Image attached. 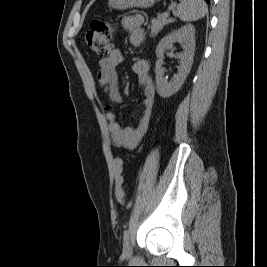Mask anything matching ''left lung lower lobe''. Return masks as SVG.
Returning a JSON list of instances; mask_svg holds the SVG:
<instances>
[{
	"label": "left lung lower lobe",
	"instance_id": "1",
	"mask_svg": "<svg viewBox=\"0 0 267 267\" xmlns=\"http://www.w3.org/2000/svg\"><path fill=\"white\" fill-rule=\"evenodd\" d=\"M207 3H209L210 2V0H205Z\"/></svg>",
	"mask_w": 267,
	"mask_h": 267
}]
</instances>
